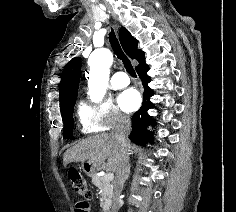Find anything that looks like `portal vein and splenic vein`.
Masks as SVG:
<instances>
[{"label": "portal vein and splenic vein", "mask_w": 236, "mask_h": 212, "mask_svg": "<svg viewBox=\"0 0 236 212\" xmlns=\"http://www.w3.org/2000/svg\"><path fill=\"white\" fill-rule=\"evenodd\" d=\"M106 180H112L114 178V173L112 172H108L106 173V175L104 176Z\"/></svg>", "instance_id": "18ae733b"}]
</instances>
